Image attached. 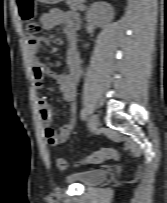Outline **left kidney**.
<instances>
[{"label":"left kidney","mask_w":167,"mask_h":203,"mask_svg":"<svg viewBox=\"0 0 167 203\" xmlns=\"http://www.w3.org/2000/svg\"><path fill=\"white\" fill-rule=\"evenodd\" d=\"M114 17L112 8L108 4L94 3L86 14V21L104 27Z\"/></svg>","instance_id":"1"}]
</instances>
